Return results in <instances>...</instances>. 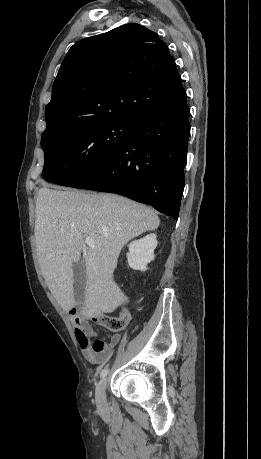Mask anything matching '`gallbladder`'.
Masks as SVG:
<instances>
[{
  "label": "gallbladder",
  "mask_w": 261,
  "mask_h": 459,
  "mask_svg": "<svg viewBox=\"0 0 261 459\" xmlns=\"http://www.w3.org/2000/svg\"><path fill=\"white\" fill-rule=\"evenodd\" d=\"M87 271L85 262L81 258L73 267V289L76 302L81 301L85 295Z\"/></svg>",
  "instance_id": "1"
}]
</instances>
